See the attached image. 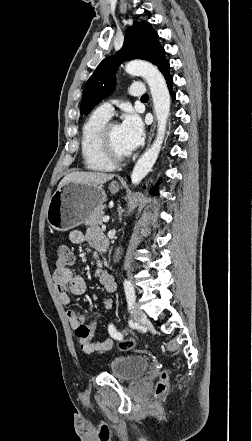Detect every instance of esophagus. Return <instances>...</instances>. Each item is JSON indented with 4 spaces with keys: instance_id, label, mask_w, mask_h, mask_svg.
<instances>
[{
    "instance_id": "34e87169",
    "label": "esophagus",
    "mask_w": 252,
    "mask_h": 441,
    "mask_svg": "<svg viewBox=\"0 0 252 441\" xmlns=\"http://www.w3.org/2000/svg\"><path fill=\"white\" fill-rule=\"evenodd\" d=\"M155 128H156V118H155V116H154V120H153V123H152V125H151L150 132H149V136H148L147 147H148V146L150 145V143H151V140H152L153 135H154V132H155Z\"/></svg>"
}]
</instances>
